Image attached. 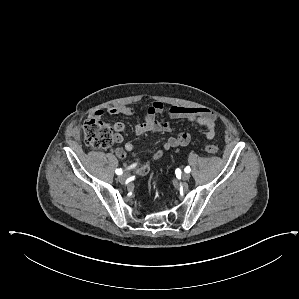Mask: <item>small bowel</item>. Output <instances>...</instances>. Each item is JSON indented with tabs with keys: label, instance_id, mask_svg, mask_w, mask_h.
I'll return each instance as SVG.
<instances>
[{
	"label": "small bowel",
	"instance_id": "c3829d8e",
	"mask_svg": "<svg viewBox=\"0 0 299 299\" xmlns=\"http://www.w3.org/2000/svg\"><path fill=\"white\" fill-rule=\"evenodd\" d=\"M165 111L164 105L161 102H153L147 112L144 115L143 121L137 123L134 126V131L136 134L141 135L147 132H160L169 133L172 128L169 122L160 121L158 115ZM168 116L172 119L182 118L191 123L198 124L207 129L206 138L211 140L215 136V126H216V115L213 111L203 108V107H184V106H172L167 111ZM125 115V116H135L137 114L136 110L125 106H111L106 109H96L92 111L91 117L99 118L104 115ZM125 129V125L122 122H117L114 124L115 136L114 139L117 143L123 141L122 132ZM190 142V134L187 132H180L176 136H170L164 142L162 149L156 151L151 159L147 160L143 165H141L137 173L139 175H145L149 172L152 162L162 157L165 151L178 146H186ZM134 152V144L131 142L125 143L123 147H117L115 149V154L120 159H124L127 153Z\"/></svg>",
	"mask_w": 299,
	"mask_h": 299
}]
</instances>
